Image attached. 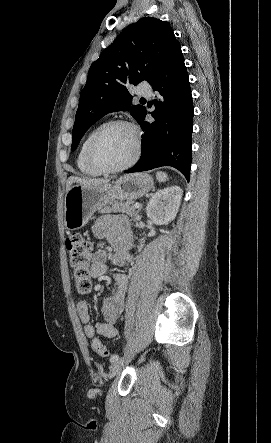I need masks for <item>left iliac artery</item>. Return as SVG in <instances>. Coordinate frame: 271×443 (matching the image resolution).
<instances>
[{
	"label": "left iliac artery",
	"instance_id": "left-iliac-artery-1",
	"mask_svg": "<svg viewBox=\"0 0 271 443\" xmlns=\"http://www.w3.org/2000/svg\"><path fill=\"white\" fill-rule=\"evenodd\" d=\"M119 360V355L115 354L110 358V362L114 363L115 361Z\"/></svg>",
	"mask_w": 271,
	"mask_h": 443
}]
</instances>
